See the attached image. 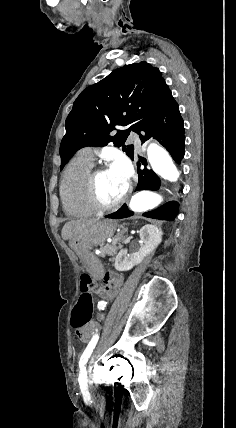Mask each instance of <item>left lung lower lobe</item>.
<instances>
[{
  "label": "left lung lower lobe",
  "mask_w": 236,
  "mask_h": 428,
  "mask_svg": "<svg viewBox=\"0 0 236 428\" xmlns=\"http://www.w3.org/2000/svg\"><path fill=\"white\" fill-rule=\"evenodd\" d=\"M144 135H140L141 142L144 143L149 138L157 139L171 154L176 163H180L184 157V122L179 112V106L175 100L171 101L167 108L156 118L143 126ZM144 164V162L142 161ZM139 181L135 191L153 190L160 188V179L152 171L147 168L140 169L138 163ZM178 203L171 201L157 210L144 213L143 216L173 220L178 213ZM134 213L130 211L126 205H123L118 211L109 214L106 218L122 219L132 216Z\"/></svg>",
  "instance_id": "left-lung-lower-lobe-1"
}]
</instances>
